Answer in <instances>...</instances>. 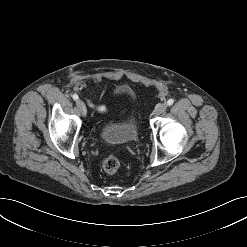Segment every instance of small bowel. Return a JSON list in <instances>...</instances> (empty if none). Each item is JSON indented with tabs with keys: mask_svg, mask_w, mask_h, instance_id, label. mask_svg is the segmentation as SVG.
Wrapping results in <instances>:
<instances>
[{
	"mask_svg": "<svg viewBox=\"0 0 247 247\" xmlns=\"http://www.w3.org/2000/svg\"><path fill=\"white\" fill-rule=\"evenodd\" d=\"M94 107L101 113H106L108 111V107L106 105H94Z\"/></svg>",
	"mask_w": 247,
	"mask_h": 247,
	"instance_id": "1",
	"label": "small bowel"
}]
</instances>
